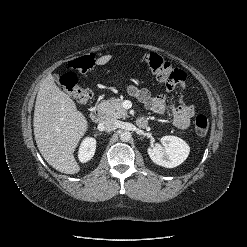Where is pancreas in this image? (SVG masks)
Instances as JSON below:
<instances>
[{
  "label": "pancreas",
  "mask_w": 247,
  "mask_h": 247,
  "mask_svg": "<svg viewBox=\"0 0 247 247\" xmlns=\"http://www.w3.org/2000/svg\"><path fill=\"white\" fill-rule=\"evenodd\" d=\"M98 108L105 113L107 117L126 118L127 111L122 106L121 99L103 100L98 105Z\"/></svg>",
  "instance_id": "1"
}]
</instances>
